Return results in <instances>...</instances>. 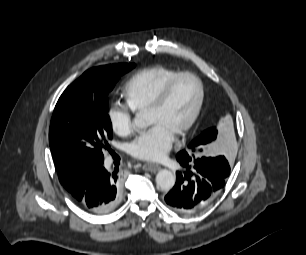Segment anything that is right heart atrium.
<instances>
[{
  "label": "right heart atrium",
  "instance_id": "1",
  "mask_svg": "<svg viewBox=\"0 0 306 255\" xmlns=\"http://www.w3.org/2000/svg\"><path fill=\"white\" fill-rule=\"evenodd\" d=\"M107 115L111 128L117 135L125 137L133 132V113L127 106L113 103L109 107Z\"/></svg>",
  "mask_w": 306,
  "mask_h": 255
}]
</instances>
